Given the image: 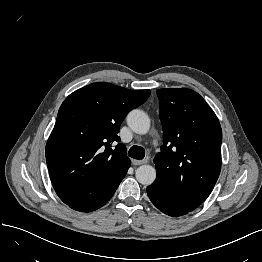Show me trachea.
Listing matches in <instances>:
<instances>
[{
    "mask_svg": "<svg viewBox=\"0 0 262 262\" xmlns=\"http://www.w3.org/2000/svg\"><path fill=\"white\" fill-rule=\"evenodd\" d=\"M128 155L134 159H143L145 157V150L141 146H132L129 149Z\"/></svg>",
    "mask_w": 262,
    "mask_h": 262,
    "instance_id": "trachea-1",
    "label": "trachea"
}]
</instances>
